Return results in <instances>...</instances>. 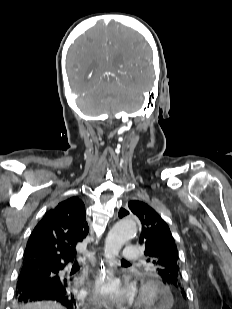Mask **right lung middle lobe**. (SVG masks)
<instances>
[{"label": "right lung middle lobe", "instance_id": "1", "mask_svg": "<svg viewBox=\"0 0 232 309\" xmlns=\"http://www.w3.org/2000/svg\"><path fill=\"white\" fill-rule=\"evenodd\" d=\"M19 277H23V278H25L26 280H29V279L31 278L29 275L22 274V273H20Z\"/></svg>", "mask_w": 232, "mask_h": 309}]
</instances>
